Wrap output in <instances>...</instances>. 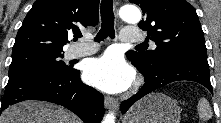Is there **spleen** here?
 Here are the masks:
<instances>
[{
	"instance_id": "3e777b00",
	"label": "spleen",
	"mask_w": 221,
	"mask_h": 123,
	"mask_svg": "<svg viewBox=\"0 0 221 123\" xmlns=\"http://www.w3.org/2000/svg\"><path fill=\"white\" fill-rule=\"evenodd\" d=\"M199 117L202 120H208L212 117V110L205 98H201L198 103Z\"/></svg>"
}]
</instances>
